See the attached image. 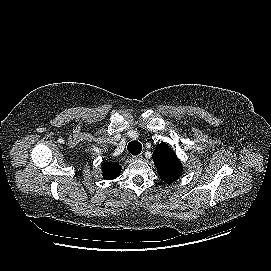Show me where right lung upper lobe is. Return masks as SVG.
<instances>
[{
    "instance_id": "cb5924a9",
    "label": "right lung upper lobe",
    "mask_w": 271,
    "mask_h": 271,
    "mask_svg": "<svg viewBox=\"0 0 271 271\" xmlns=\"http://www.w3.org/2000/svg\"><path fill=\"white\" fill-rule=\"evenodd\" d=\"M102 172L104 179L113 180L119 176L121 168L118 163L104 162L102 164Z\"/></svg>"
}]
</instances>
